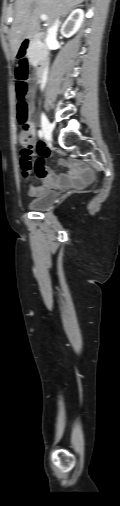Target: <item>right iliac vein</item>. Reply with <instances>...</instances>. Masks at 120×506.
<instances>
[{
  "mask_svg": "<svg viewBox=\"0 0 120 506\" xmlns=\"http://www.w3.org/2000/svg\"><path fill=\"white\" fill-rule=\"evenodd\" d=\"M41 122H42V129H43L44 137L47 140H52V126L45 115H42Z\"/></svg>",
  "mask_w": 120,
  "mask_h": 506,
  "instance_id": "1",
  "label": "right iliac vein"
}]
</instances>
